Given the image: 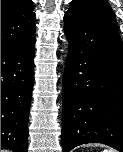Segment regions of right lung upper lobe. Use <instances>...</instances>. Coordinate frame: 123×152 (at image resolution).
I'll use <instances>...</instances> for the list:
<instances>
[{
  "label": "right lung upper lobe",
  "instance_id": "right-lung-upper-lobe-1",
  "mask_svg": "<svg viewBox=\"0 0 123 152\" xmlns=\"http://www.w3.org/2000/svg\"><path fill=\"white\" fill-rule=\"evenodd\" d=\"M32 0H1V47L35 34L36 15Z\"/></svg>",
  "mask_w": 123,
  "mask_h": 152
}]
</instances>
